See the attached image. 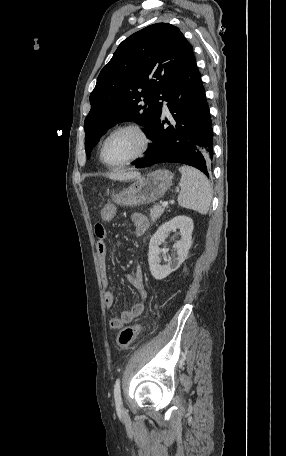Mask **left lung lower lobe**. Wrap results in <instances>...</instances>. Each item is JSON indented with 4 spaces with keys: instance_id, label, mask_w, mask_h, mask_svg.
Listing matches in <instances>:
<instances>
[{
    "instance_id": "0a47b994",
    "label": "left lung lower lobe",
    "mask_w": 286,
    "mask_h": 456,
    "mask_svg": "<svg viewBox=\"0 0 286 456\" xmlns=\"http://www.w3.org/2000/svg\"><path fill=\"white\" fill-rule=\"evenodd\" d=\"M164 100L174 125L159 118L147 136L153 144L147 156L132 163L136 168L159 162L183 163L201 170L209 177L213 156V132L209 106L195 59L175 80ZM168 124V127H164Z\"/></svg>"
}]
</instances>
